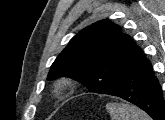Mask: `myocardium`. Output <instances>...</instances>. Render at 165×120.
Segmentation results:
<instances>
[{
	"instance_id": "myocardium-1",
	"label": "myocardium",
	"mask_w": 165,
	"mask_h": 120,
	"mask_svg": "<svg viewBox=\"0 0 165 120\" xmlns=\"http://www.w3.org/2000/svg\"><path fill=\"white\" fill-rule=\"evenodd\" d=\"M69 86V82L67 80H61L57 83L56 88L59 91L66 90Z\"/></svg>"
}]
</instances>
